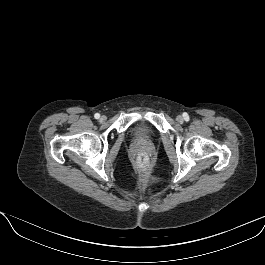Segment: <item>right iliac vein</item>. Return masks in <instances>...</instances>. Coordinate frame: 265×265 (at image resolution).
I'll list each match as a JSON object with an SVG mask.
<instances>
[{"instance_id": "right-iliac-vein-1", "label": "right iliac vein", "mask_w": 265, "mask_h": 265, "mask_svg": "<svg viewBox=\"0 0 265 265\" xmlns=\"http://www.w3.org/2000/svg\"><path fill=\"white\" fill-rule=\"evenodd\" d=\"M100 120L103 122V121L106 120V117H105V116H102V117L100 118Z\"/></svg>"}]
</instances>
